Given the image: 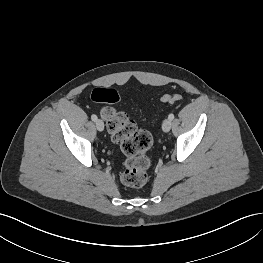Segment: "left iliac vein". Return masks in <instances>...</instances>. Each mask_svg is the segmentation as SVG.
Listing matches in <instances>:
<instances>
[{"label": "left iliac vein", "instance_id": "obj_1", "mask_svg": "<svg viewBox=\"0 0 263 263\" xmlns=\"http://www.w3.org/2000/svg\"><path fill=\"white\" fill-rule=\"evenodd\" d=\"M171 126H172V123H171L170 119H166L162 123V129H163L164 132L170 131Z\"/></svg>", "mask_w": 263, "mask_h": 263}]
</instances>
